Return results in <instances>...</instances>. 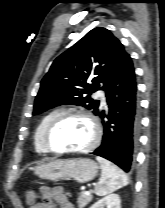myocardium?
<instances>
[{
  "label": "myocardium",
  "mask_w": 165,
  "mask_h": 208,
  "mask_svg": "<svg viewBox=\"0 0 165 208\" xmlns=\"http://www.w3.org/2000/svg\"><path fill=\"white\" fill-rule=\"evenodd\" d=\"M69 117H80V118L86 119L92 127V131H93L92 139L86 146L82 148L57 149L52 146L50 142V135L52 131L54 130V128L60 122H62L64 119L69 118ZM100 139H101V127H100L98 120L96 119L95 116H93L89 112L81 111V110L62 111L49 122V124L47 125L43 133V142H44L46 149L51 153H57V154H81V153L89 152L98 145Z\"/></svg>",
  "instance_id": "myocardium-1"
}]
</instances>
